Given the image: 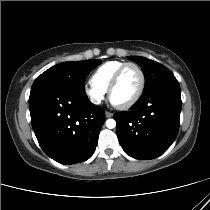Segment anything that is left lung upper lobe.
<instances>
[{
  "mask_svg": "<svg viewBox=\"0 0 210 210\" xmlns=\"http://www.w3.org/2000/svg\"><path fill=\"white\" fill-rule=\"evenodd\" d=\"M127 58L140 65L145 76V90L158 82L175 78L168 68L158 62L140 56H128Z\"/></svg>",
  "mask_w": 210,
  "mask_h": 210,
  "instance_id": "5c2ea615",
  "label": "left lung upper lobe"
}]
</instances>
